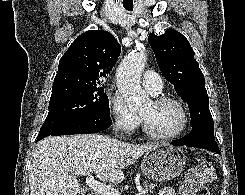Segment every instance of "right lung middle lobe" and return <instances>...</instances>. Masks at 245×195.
<instances>
[{
	"instance_id": "obj_1",
	"label": "right lung middle lobe",
	"mask_w": 245,
	"mask_h": 195,
	"mask_svg": "<svg viewBox=\"0 0 245 195\" xmlns=\"http://www.w3.org/2000/svg\"><path fill=\"white\" fill-rule=\"evenodd\" d=\"M96 114L110 115L109 100L102 86L76 87L52 92L49 113L38 136Z\"/></svg>"
}]
</instances>
